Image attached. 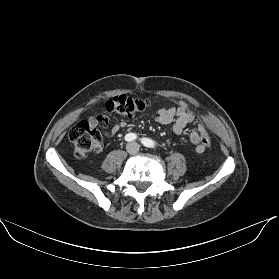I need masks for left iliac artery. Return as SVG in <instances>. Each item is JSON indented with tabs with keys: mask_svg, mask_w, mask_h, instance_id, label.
I'll return each instance as SVG.
<instances>
[{
	"mask_svg": "<svg viewBox=\"0 0 279 279\" xmlns=\"http://www.w3.org/2000/svg\"><path fill=\"white\" fill-rule=\"evenodd\" d=\"M142 144L146 147H149V148H152L154 147V142L151 140V139H148V138H143L141 140Z\"/></svg>",
	"mask_w": 279,
	"mask_h": 279,
	"instance_id": "1",
	"label": "left iliac artery"
}]
</instances>
